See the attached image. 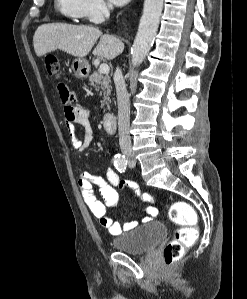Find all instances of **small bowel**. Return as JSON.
Returning <instances> with one entry per match:
<instances>
[{"label":"small bowel","instance_id":"obj_1","mask_svg":"<svg viewBox=\"0 0 247 299\" xmlns=\"http://www.w3.org/2000/svg\"><path fill=\"white\" fill-rule=\"evenodd\" d=\"M58 92L64 106V123L72 147L75 152L81 154L94 140V132L90 122V113L78 103L75 93L65 84L61 83L58 85ZM76 126H79L83 130V136H78ZM126 185L131 189H138L137 185L134 183H122L117 172L110 167L106 171L105 179L94 176L88 172H82L78 180V187L85 204L111 235H119L123 230H131L138 224L137 221H130L121 226L117 220L107 215L108 210L115 209L119 206L120 195L117 188H123ZM94 187L99 189L102 200L98 199L95 195ZM135 195L140 201L154 202V198L148 193H141L139 191L138 193H135ZM145 211L148 216L144 217V221L152 220V218L156 217L159 213L158 209L153 206L146 207Z\"/></svg>","mask_w":247,"mask_h":299}]
</instances>
